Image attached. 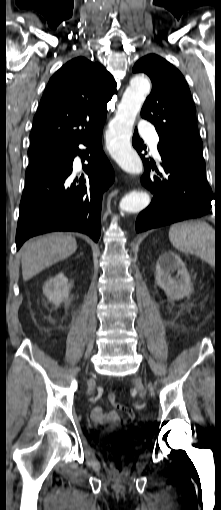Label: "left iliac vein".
<instances>
[{
    "mask_svg": "<svg viewBox=\"0 0 221 510\" xmlns=\"http://www.w3.org/2000/svg\"><path fill=\"white\" fill-rule=\"evenodd\" d=\"M133 382H134V385H135V387L137 388V390H138V392H139V396H140L141 398H144V396H145V392H144V388H143V385H142L141 380H140V379H138V378H135V379L133 380Z\"/></svg>",
    "mask_w": 221,
    "mask_h": 510,
    "instance_id": "left-iliac-vein-1",
    "label": "left iliac vein"
}]
</instances>
